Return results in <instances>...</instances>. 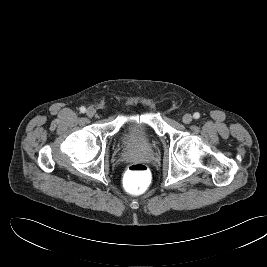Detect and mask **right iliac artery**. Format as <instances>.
<instances>
[{
  "instance_id": "obj_1",
  "label": "right iliac artery",
  "mask_w": 267,
  "mask_h": 267,
  "mask_svg": "<svg viewBox=\"0 0 267 267\" xmlns=\"http://www.w3.org/2000/svg\"><path fill=\"white\" fill-rule=\"evenodd\" d=\"M80 112H81V113H85V112H86V108H85L84 106H82V107L80 108Z\"/></svg>"
}]
</instances>
